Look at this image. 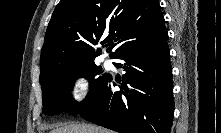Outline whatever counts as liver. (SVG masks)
<instances>
[{"instance_id": "6515ba94", "label": "liver", "mask_w": 221, "mask_h": 133, "mask_svg": "<svg viewBox=\"0 0 221 133\" xmlns=\"http://www.w3.org/2000/svg\"><path fill=\"white\" fill-rule=\"evenodd\" d=\"M50 133H111L107 129L88 124L69 123L53 129Z\"/></svg>"}]
</instances>
